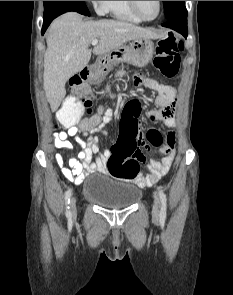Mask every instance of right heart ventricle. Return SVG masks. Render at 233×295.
Wrapping results in <instances>:
<instances>
[{"label": "right heart ventricle", "instance_id": "obj_1", "mask_svg": "<svg viewBox=\"0 0 233 295\" xmlns=\"http://www.w3.org/2000/svg\"><path fill=\"white\" fill-rule=\"evenodd\" d=\"M107 12L114 18L139 23L141 20L131 11L128 1H108Z\"/></svg>", "mask_w": 233, "mask_h": 295}]
</instances>
